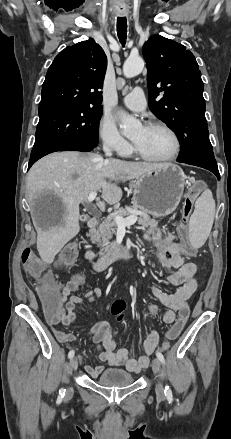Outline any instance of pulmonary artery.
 Masks as SVG:
<instances>
[{
	"instance_id": "pulmonary-artery-1",
	"label": "pulmonary artery",
	"mask_w": 231,
	"mask_h": 439,
	"mask_svg": "<svg viewBox=\"0 0 231 439\" xmlns=\"http://www.w3.org/2000/svg\"><path fill=\"white\" fill-rule=\"evenodd\" d=\"M123 102L126 107L132 111L140 112L146 108V99L140 87H136L126 94L123 98Z\"/></svg>"
}]
</instances>
